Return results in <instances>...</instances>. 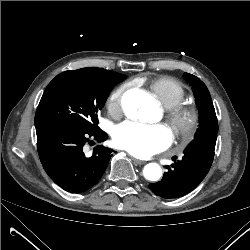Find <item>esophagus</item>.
Here are the masks:
<instances>
[{
  "label": "esophagus",
  "instance_id": "obj_1",
  "mask_svg": "<svg viewBox=\"0 0 250 250\" xmlns=\"http://www.w3.org/2000/svg\"><path fill=\"white\" fill-rule=\"evenodd\" d=\"M133 162L135 165H143L145 164V161H142V160H139V159H136V158H132Z\"/></svg>",
  "mask_w": 250,
  "mask_h": 250
}]
</instances>
